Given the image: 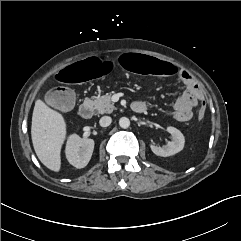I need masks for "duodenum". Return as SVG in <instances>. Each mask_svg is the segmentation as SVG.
Listing matches in <instances>:
<instances>
[{"label": "duodenum", "mask_w": 241, "mask_h": 241, "mask_svg": "<svg viewBox=\"0 0 241 241\" xmlns=\"http://www.w3.org/2000/svg\"><path fill=\"white\" fill-rule=\"evenodd\" d=\"M131 109L135 113L142 114L147 108L143 103L135 101L132 103ZM79 115L83 119H89L92 116V105L89 102H83L79 107Z\"/></svg>", "instance_id": "obj_1"}]
</instances>
